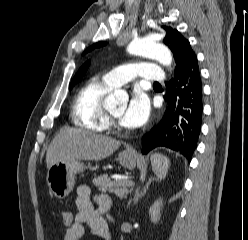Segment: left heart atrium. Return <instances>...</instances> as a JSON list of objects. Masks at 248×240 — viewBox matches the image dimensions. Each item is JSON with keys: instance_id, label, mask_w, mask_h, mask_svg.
Instances as JSON below:
<instances>
[{"instance_id": "39dd6f15", "label": "left heart atrium", "mask_w": 248, "mask_h": 240, "mask_svg": "<svg viewBox=\"0 0 248 240\" xmlns=\"http://www.w3.org/2000/svg\"><path fill=\"white\" fill-rule=\"evenodd\" d=\"M149 112L148 96L141 89H135L122 115L121 122L128 128H137L145 123Z\"/></svg>"}]
</instances>
